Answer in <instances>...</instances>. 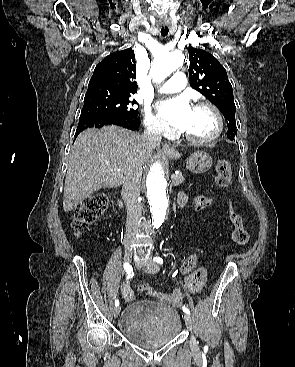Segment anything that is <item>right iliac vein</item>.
Listing matches in <instances>:
<instances>
[{
    "label": "right iliac vein",
    "instance_id": "obj_1",
    "mask_svg": "<svg viewBox=\"0 0 295 367\" xmlns=\"http://www.w3.org/2000/svg\"><path fill=\"white\" fill-rule=\"evenodd\" d=\"M131 258H132V252L130 250H126L124 253V262L129 263L131 261ZM119 313H120V307L115 306L113 309V316L117 318Z\"/></svg>",
    "mask_w": 295,
    "mask_h": 367
}]
</instances>
